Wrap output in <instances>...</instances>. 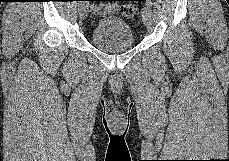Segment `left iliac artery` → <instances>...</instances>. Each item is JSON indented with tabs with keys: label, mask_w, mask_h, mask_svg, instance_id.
I'll use <instances>...</instances> for the list:
<instances>
[{
	"label": "left iliac artery",
	"mask_w": 229,
	"mask_h": 161,
	"mask_svg": "<svg viewBox=\"0 0 229 161\" xmlns=\"http://www.w3.org/2000/svg\"><path fill=\"white\" fill-rule=\"evenodd\" d=\"M146 5H147L148 7H152V2H151V0H146Z\"/></svg>",
	"instance_id": "1"
}]
</instances>
